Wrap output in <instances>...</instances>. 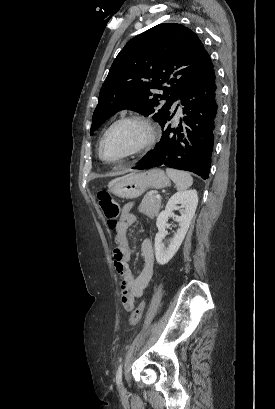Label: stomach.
Here are the masks:
<instances>
[{
	"instance_id": "stomach-1",
	"label": "stomach",
	"mask_w": 275,
	"mask_h": 409,
	"mask_svg": "<svg viewBox=\"0 0 275 409\" xmlns=\"http://www.w3.org/2000/svg\"><path fill=\"white\" fill-rule=\"evenodd\" d=\"M170 178L161 168H151L145 172H131L122 178H116L109 184L113 194L120 198H137L148 188H165L169 186Z\"/></svg>"
}]
</instances>
